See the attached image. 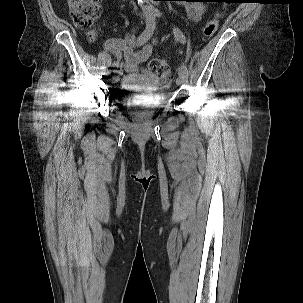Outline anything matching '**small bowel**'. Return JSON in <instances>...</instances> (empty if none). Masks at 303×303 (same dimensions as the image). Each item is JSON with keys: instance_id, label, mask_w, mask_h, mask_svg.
Here are the masks:
<instances>
[{"instance_id": "small-bowel-1", "label": "small bowel", "mask_w": 303, "mask_h": 303, "mask_svg": "<svg viewBox=\"0 0 303 303\" xmlns=\"http://www.w3.org/2000/svg\"><path fill=\"white\" fill-rule=\"evenodd\" d=\"M187 2H196L194 4H184L188 17L192 21H200L204 15L205 7L200 0H185ZM137 45L131 36L126 38H109L104 44V50L112 52L117 63L123 65L127 77L125 83L128 85H136L145 89H153L158 86L156 80L150 71L142 64L146 62L152 54V46L145 45L139 51H134L133 46ZM141 46V45H137ZM123 57L125 63L122 62Z\"/></svg>"}]
</instances>
